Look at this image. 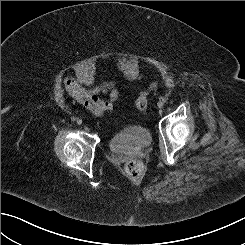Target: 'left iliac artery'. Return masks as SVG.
I'll list each match as a JSON object with an SVG mask.
<instances>
[{
    "mask_svg": "<svg viewBox=\"0 0 245 245\" xmlns=\"http://www.w3.org/2000/svg\"><path fill=\"white\" fill-rule=\"evenodd\" d=\"M167 100H168V99H167L166 97H163V98H162V102H163V103H166Z\"/></svg>",
    "mask_w": 245,
    "mask_h": 245,
    "instance_id": "obj_1",
    "label": "left iliac artery"
}]
</instances>
